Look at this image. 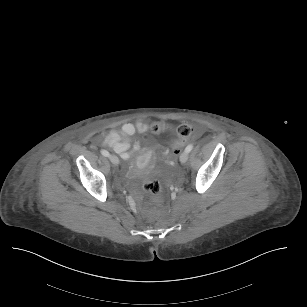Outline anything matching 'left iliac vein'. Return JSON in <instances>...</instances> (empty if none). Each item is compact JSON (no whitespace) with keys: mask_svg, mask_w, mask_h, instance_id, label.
<instances>
[{"mask_svg":"<svg viewBox=\"0 0 307 307\" xmlns=\"http://www.w3.org/2000/svg\"><path fill=\"white\" fill-rule=\"evenodd\" d=\"M188 158H189L188 152H182L179 160L181 163H186L188 161Z\"/></svg>","mask_w":307,"mask_h":307,"instance_id":"4c4485c4","label":"left iliac vein"}]
</instances>
